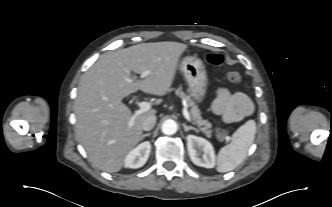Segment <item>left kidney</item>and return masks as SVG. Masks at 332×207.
Instances as JSON below:
<instances>
[{
    "instance_id": "obj_1",
    "label": "left kidney",
    "mask_w": 332,
    "mask_h": 207,
    "mask_svg": "<svg viewBox=\"0 0 332 207\" xmlns=\"http://www.w3.org/2000/svg\"><path fill=\"white\" fill-rule=\"evenodd\" d=\"M187 148L191 161L200 167L213 168L215 166V152L209 141L194 135L187 136Z\"/></svg>"
}]
</instances>
